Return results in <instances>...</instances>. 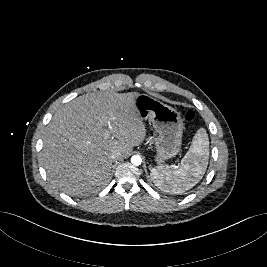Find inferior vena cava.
Instances as JSON below:
<instances>
[{
    "label": "inferior vena cava",
    "instance_id": "inferior-vena-cava-1",
    "mask_svg": "<svg viewBox=\"0 0 267 267\" xmlns=\"http://www.w3.org/2000/svg\"><path fill=\"white\" fill-rule=\"evenodd\" d=\"M110 158L115 161V160H119L122 158V154L119 150H113L111 152Z\"/></svg>",
    "mask_w": 267,
    "mask_h": 267
}]
</instances>
